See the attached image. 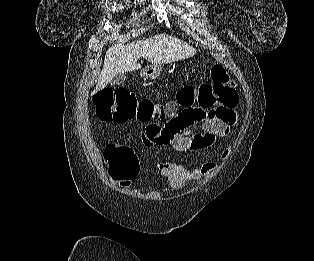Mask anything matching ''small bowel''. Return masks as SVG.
Returning <instances> with one entry per match:
<instances>
[{
	"mask_svg": "<svg viewBox=\"0 0 314 261\" xmlns=\"http://www.w3.org/2000/svg\"><path fill=\"white\" fill-rule=\"evenodd\" d=\"M236 99L211 109H181L171 120L148 126L142 131L146 146L171 148L173 151H199L212 148L219 138L228 136L237 122ZM223 157L227 156L224 152ZM215 163L185 166L175 161L156 164L155 169L174 190L181 189L190 180H200L215 171Z\"/></svg>",
	"mask_w": 314,
	"mask_h": 261,
	"instance_id": "1",
	"label": "small bowel"
}]
</instances>
